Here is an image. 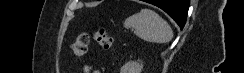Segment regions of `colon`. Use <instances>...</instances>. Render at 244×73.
I'll use <instances>...</instances> for the list:
<instances>
[{"label": "colon", "instance_id": "colon-1", "mask_svg": "<svg viewBox=\"0 0 244 73\" xmlns=\"http://www.w3.org/2000/svg\"><path fill=\"white\" fill-rule=\"evenodd\" d=\"M93 39L105 50L110 49L114 44V38L109 35L103 27H98L93 33ZM90 35L87 32H80L72 43V51L76 57H82L87 53Z\"/></svg>", "mask_w": 244, "mask_h": 73}]
</instances>
